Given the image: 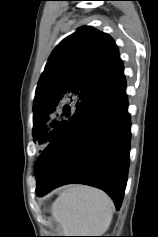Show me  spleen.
Wrapping results in <instances>:
<instances>
[{"mask_svg": "<svg viewBox=\"0 0 158 237\" xmlns=\"http://www.w3.org/2000/svg\"><path fill=\"white\" fill-rule=\"evenodd\" d=\"M51 210L64 236H101L110 226L114 204L99 189L72 185L58 196Z\"/></svg>", "mask_w": 158, "mask_h": 237, "instance_id": "obj_1", "label": "spleen"}]
</instances>
